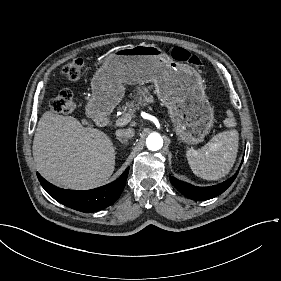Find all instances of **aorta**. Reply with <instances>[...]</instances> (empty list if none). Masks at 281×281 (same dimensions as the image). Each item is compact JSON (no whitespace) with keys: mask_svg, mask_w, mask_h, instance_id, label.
<instances>
[{"mask_svg":"<svg viewBox=\"0 0 281 281\" xmlns=\"http://www.w3.org/2000/svg\"><path fill=\"white\" fill-rule=\"evenodd\" d=\"M147 148L151 151H157L163 146V139L160 134L154 132L151 133L146 139Z\"/></svg>","mask_w":281,"mask_h":281,"instance_id":"aorta-1","label":"aorta"}]
</instances>
